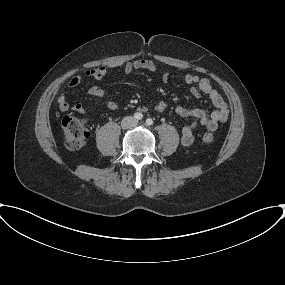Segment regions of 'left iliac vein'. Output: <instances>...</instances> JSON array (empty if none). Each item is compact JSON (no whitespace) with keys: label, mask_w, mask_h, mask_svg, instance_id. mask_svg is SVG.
Wrapping results in <instances>:
<instances>
[{"label":"left iliac vein","mask_w":285,"mask_h":285,"mask_svg":"<svg viewBox=\"0 0 285 285\" xmlns=\"http://www.w3.org/2000/svg\"><path fill=\"white\" fill-rule=\"evenodd\" d=\"M134 125H137V122H134Z\"/></svg>","instance_id":"obj_1"}]
</instances>
